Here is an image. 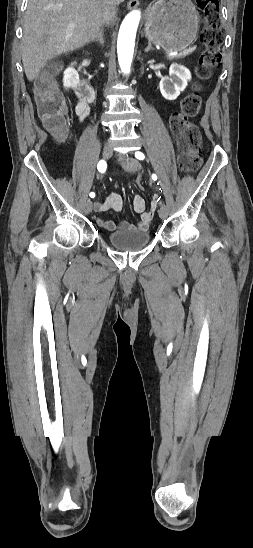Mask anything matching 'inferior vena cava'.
Returning a JSON list of instances; mask_svg holds the SVG:
<instances>
[{
	"label": "inferior vena cava",
	"instance_id": "1",
	"mask_svg": "<svg viewBox=\"0 0 253 548\" xmlns=\"http://www.w3.org/2000/svg\"><path fill=\"white\" fill-rule=\"evenodd\" d=\"M124 0H104L103 23L109 25L117 12L118 5Z\"/></svg>",
	"mask_w": 253,
	"mask_h": 548
}]
</instances>
